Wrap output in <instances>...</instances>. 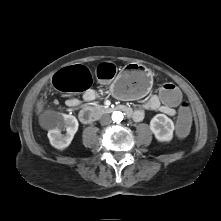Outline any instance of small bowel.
Returning <instances> with one entry per match:
<instances>
[{
	"label": "small bowel",
	"mask_w": 221,
	"mask_h": 221,
	"mask_svg": "<svg viewBox=\"0 0 221 221\" xmlns=\"http://www.w3.org/2000/svg\"><path fill=\"white\" fill-rule=\"evenodd\" d=\"M171 84V83H167ZM97 98V92L93 89H88L83 94V100L86 102H92ZM68 107L77 109L81 105V101L78 98H70L66 101ZM144 110H157L168 116H174L176 114V108L170 109L165 107L159 99V94H154L146 98L142 103V108L133 111L132 118L140 122L145 117Z\"/></svg>",
	"instance_id": "1"
}]
</instances>
